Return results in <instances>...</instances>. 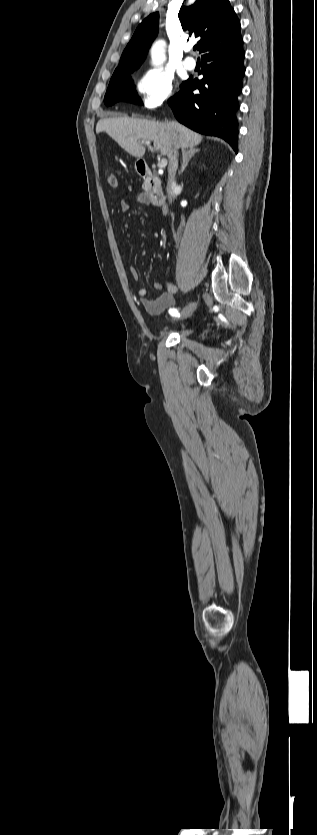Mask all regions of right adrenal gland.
<instances>
[{"mask_svg":"<svg viewBox=\"0 0 317 835\" xmlns=\"http://www.w3.org/2000/svg\"><path fill=\"white\" fill-rule=\"evenodd\" d=\"M197 152H199L198 148H188V149L182 150L183 162H182V166H181V170L179 171V174H182L184 172V170L187 167V165H188L189 161L191 160L192 156H194V154H196Z\"/></svg>","mask_w":317,"mask_h":835,"instance_id":"2a0ac1e0","label":"right adrenal gland"}]
</instances>
